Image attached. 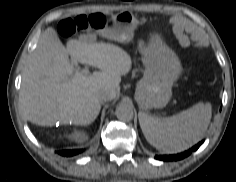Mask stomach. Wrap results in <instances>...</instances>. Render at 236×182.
Wrapping results in <instances>:
<instances>
[{
  "label": "stomach",
  "mask_w": 236,
  "mask_h": 182,
  "mask_svg": "<svg viewBox=\"0 0 236 182\" xmlns=\"http://www.w3.org/2000/svg\"><path fill=\"white\" fill-rule=\"evenodd\" d=\"M115 20V26L102 33L118 41H130L139 24L137 18L130 12H122ZM142 62L145 71L136 86L137 103L143 109L162 108L171 99L173 83L182 72L181 62L176 53L158 36L153 37L148 47L142 51Z\"/></svg>",
  "instance_id": "obj_1"
}]
</instances>
